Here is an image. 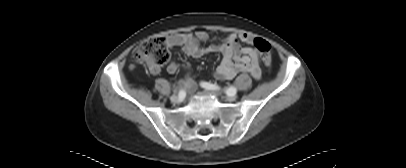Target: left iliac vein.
I'll use <instances>...</instances> for the list:
<instances>
[{
	"mask_svg": "<svg viewBox=\"0 0 406 168\" xmlns=\"http://www.w3.org/2000/svg\"><path fill=\"white\" fill-rule=\"evenodd\" d=\"M210 92L213 93V94H216V92H214V91H210ZM236 98H237L236 94H232V95H227V96H226V99H227L228 101H230V102L235 101Z\"/></svg>",
	"mask_w": 406,
	"mask_h": 168,
	"instance_id": "4c4485c4",
	"label": "left iliac vein"
}]
</instances>
